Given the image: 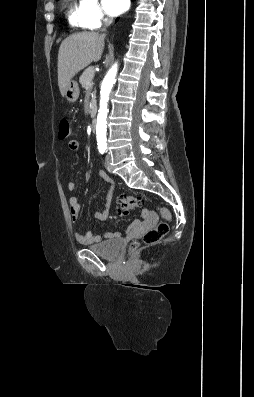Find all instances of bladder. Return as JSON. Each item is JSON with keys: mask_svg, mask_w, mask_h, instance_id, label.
<instances>
[{"mask_svg": "<svg viewBox=\"0 0 254 397\" xmlns=\"http://www.w3.org/2000/svg\"><path fill=\"white\" fill-rule=\"evenodd\" d=\"M121 241L119 239H112L101 242L99 244L91 245L88 247L89 250L96 253L98 256L113 259L117 257L120 252Z\"/></svg>", "mask_w": 254, "mask_h": 397, "instance_id": "bladder-1", "label": "bladder"}]
</instances>
